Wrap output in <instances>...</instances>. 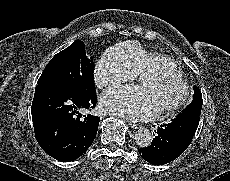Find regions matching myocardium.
<instances>
[{
    "label": "myocardium",
    "mask_w": 230,
    "mask_h": 181,
    "mask_svg": "<svg viewBox=\"0 0 230 181\" xmlns=\"http://www.w3.org/2000/svg\"><path fill=\"white\" fill-rule=\"evenodd\" d=\"M154 80L168 81L172 82L180 88V96L179 98L173 102L172 104L160 107L156 109L159 113H173L179 110L187 101L189 97V88L187 83L182 79V77L174 76L168 72H159V71H151L140 77V84L138 85L140 88H143L146 82L150 83Z\"/></svg>",
    "instance_id": "1"
}]
</instances>
